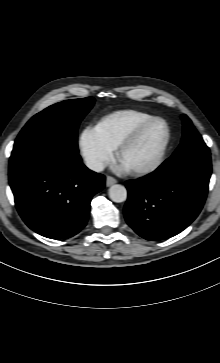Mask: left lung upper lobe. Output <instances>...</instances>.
<instances>
[{"instance_id": "1", "label": "left lung upper lobe", "mask_w": 220, "mask_h": 363, "mask_svg": "<svg viewBox=\"0 0 220 363\" xmlns=\"http://www.w3.org/2000/svg\"><path fill=\"white\" fill-rule=\"evenodd\" d=\"M183 120V137L180 146L174 152V154L183 152L189 149H200V150H209L203 141L200 134L192 125L191 120L185 115H182Z\"/></svg>"}]
</instances>
